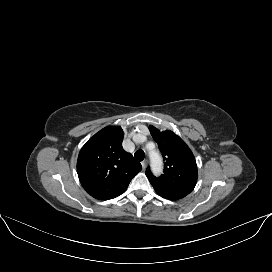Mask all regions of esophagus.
Masks as SVG:
<instances>
[{"instance_id":"obj_1","label":"esophagus","mask_w":272,"mask_h":272,"mask_svg":"<svg viewBox=\"0 0 272 272\" xmlns=\"http://www.w3.org/2000/svg\"><path fill=\"white\" fill-rule=\"evenodd\" d=\"M147 164H148V161H147V160H143V161L141 162V165H142L143 170L146 169Z\"/></svg>"}]
</instances>
